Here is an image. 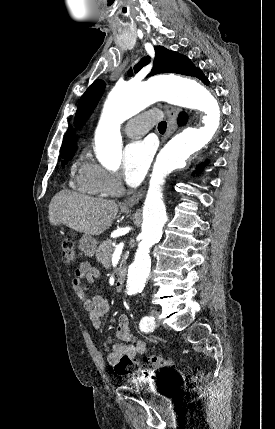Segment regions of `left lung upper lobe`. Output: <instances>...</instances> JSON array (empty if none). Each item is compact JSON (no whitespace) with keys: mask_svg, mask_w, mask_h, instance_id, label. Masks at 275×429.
I'll return each mask as SVG.
<instances>
[{"mask_svg":"<svg viewBox=\"0 0 275 429\" xmlns=\"http://www.w3.org/2000/svg\"><path fill=\"white\" fill-rule=\"evenodd\" d=\"M155 59L151 73L148 76L160 73H178L187 76H196V72L200 70L195 68L191 60L174 51H169L163 46H155ZM150 62V57L141 59V61L134 66V72L137 73L143 66ZM129 75L132 71L129 70ZM105 84L102 80L94 81L86 92L82 95L78 109L75 116V123L77 126H82L86 119L91 114L96 103L100 99L104 91Z\"/></svg>","mask_w":275,"mask_h":429,"instance_id":"left-lung-upper-lobe-1","label":"left lung upper lobe"}]
</instances>
